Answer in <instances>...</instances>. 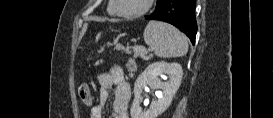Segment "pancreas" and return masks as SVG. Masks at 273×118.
Wrapping results in <instances>:
<instances>
[{
    "label": "pancreas",
    "mask_w": 273,
    "mask_h": 118,
    "mask_svg": "<svg viewBox=\"0 0 273 118\" xmlns=\"http://www.w3.org/2000/svg\"><path fill=\"white\" fill-rule=\"evenodd\" d=\"M144 48L142 47H134L133 51H134V57H140L143 56L145 54V52L143 51ZM129 53V51H127ZM128 72H129V76H133V72L136 71L137 67L135 64V59L134 58H130L128 60V66H127Z\"/></svg>",
    "instance_id": "pancreas-1"
}]
</instances>
